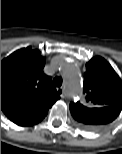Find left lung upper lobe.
<instances>
[{"label": "left lung upper lobe", "mask_w": 122, "mask_h": 154, "mask_svg": "<svg viewBox=\"0 0 122 154\" xmlns=\"http://www.w3.org/2000/svg\"><path fill=\"white\" fill-rule=\"evenodd\" d=\"M84 79L85 102L70 103V111L76 121L87 124L82 117H91L89 112L97 111L88 109H122V81L104 58L94 57L86 64Z\"/></svg>", "instance_id": "obj_1"}]
</instances>
